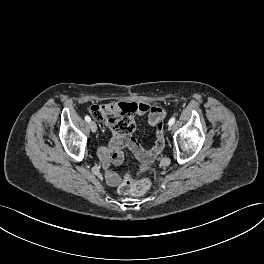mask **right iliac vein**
I'll use <instances>...</instances> for the list:
<instances>
[{"label": "right iliac vein", "instance_id": "obj_1", "mask_svg": "<svg viewBox=\"0 0 264 264\" xmlns=\"http://www.w3.org/2000/svg\"><path fill=\"white\" fill-rule=\"evenodd\" d=\"M89 127H90V129H91V131H92L93 133H95V132L97 131V125H96V123H95L94 121H91V122L89 123Z\"/></svg>", "mask_w": 264, "mask_h": 264}]
</instances>
